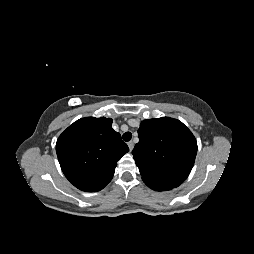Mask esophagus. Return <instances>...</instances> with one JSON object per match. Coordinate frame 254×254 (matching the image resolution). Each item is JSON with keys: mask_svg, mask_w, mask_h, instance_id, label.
<instances>
[{"mask_svg": "<svg viewBox=\"0 0 254 254\" xmlns=\"http://www.w3.org/2000/svg\"><path fill=\"white\" fill-rule=\"evenodd\" d=\"M128 147H129L130 151H132V149L134 147L133 141L128 142Z\"/></svg>", "mask_w": 254, "mask_h": 254, "instance_id": "obj_1", "label": "esophagus"}]
</instances>
